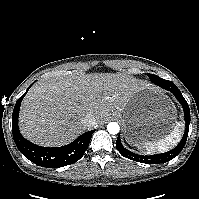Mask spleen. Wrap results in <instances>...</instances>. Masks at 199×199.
<instances>
[{
	"label": "spleen",
	"instance_id": "obj_1",
	"mask_svg": "<svg viewBox=\"0 0 199 199\" xmlns=\"http://www.w3.org/2000/svg\"><path fill=\"white\" fill-rule=\"evenodd\" d=\"M181 138L180 124L178 123L170 134L156 141H146L135 145L142 152L147 154L164 153L170 150Z\"/></svg>",
	"mask_w": 199,
	"mask_h": 199
}]
</instances>
